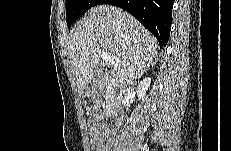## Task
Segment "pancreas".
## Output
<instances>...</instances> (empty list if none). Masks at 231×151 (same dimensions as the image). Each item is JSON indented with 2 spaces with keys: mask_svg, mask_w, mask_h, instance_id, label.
I'll use <instances>...</instances> for the list:
<instances>
[{
  "mask_svg": "<svg viewBox=\"0 0 231 151\" xmlns=\"http://www.w3.org/2000/svg\"><path fill=\"white\" fill-rule=\"evenodd\" d=\"M105 100H106V104L109 105L113 100H114V97H113V92L110 88L107 87V90H106V96H105Z\"/></svg>",
  "mask_w": 231,
  "mask_h": 151,
  "instance_id": "pancreas-1",
  "label": "pancreas"
}]
</instances>
